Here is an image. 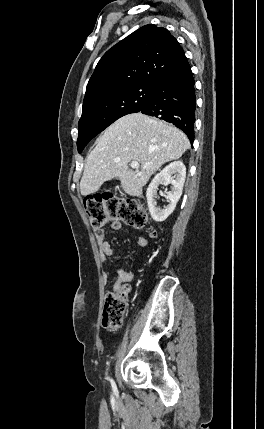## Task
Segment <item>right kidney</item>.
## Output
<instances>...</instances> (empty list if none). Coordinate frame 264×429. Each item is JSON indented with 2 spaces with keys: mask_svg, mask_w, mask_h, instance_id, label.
<instances>
[{
  "mask_svg": "<svg viewBox=\"0 0 264 429\" xmlns=\"http://www.w3.org/2000/svg\"><path fill=\"white\" fill-rule=\"evenodd\" d=\"M186 178V167L182 161H174L158 173L149 184L146 197L151 217L156 222L165 221L174 211L179 201ZM172 185V190L167 193L169 204L160 209L157 207L156 198L159 185Z\"/></svg>",
  "mask_w": 264,
  "mask_h": 429,
  "instance_id": "ca27d5eb",
  "label": "right kidney"
}]
</instances>
